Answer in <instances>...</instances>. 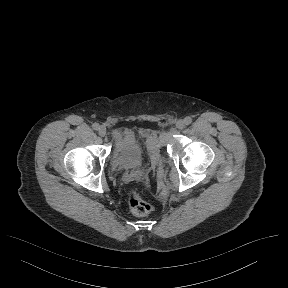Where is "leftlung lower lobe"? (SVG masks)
Masks as SVG:
<instances>
[{"instance_id": "left-lung-lower-lobe-1", "label": "left lung lower lobe", "mask_w": 288, "mask_h": 288, "mask_svg": "<svg viewBox=\"0 0 288 288\" xmlns=\"http://www.w3.org/2000/svg\"><path fill=\"white\" fill-rule=\"evenodd\" d=\"M263 208V202L260 200L258 202V204L256 205L255 209L252 212V215H256L257 213H259Z\"/></svg>"}]
</instances>
